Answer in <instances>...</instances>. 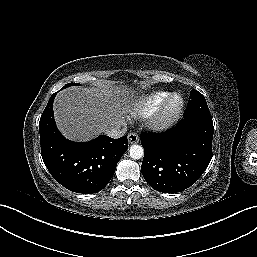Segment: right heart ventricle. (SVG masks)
<instances>
[{"label": "right heart ventricle", "instance_id": "right-heart-ventricle-1", "mask_svg": "<svg viewBox=\"0 0 257 257\" xmlns=\"http://www.w3.org/2000/svg\"><path fill=\"white\" fill-rule=\"evenodd\" d=\"M169 95V92L158 91L144 97L132 109L131 115L135 118H139L154 112Z\"/></svg>", "mask_w": 257, "mask_h": 257}]
</instances>
